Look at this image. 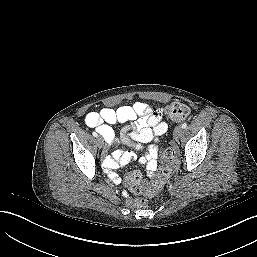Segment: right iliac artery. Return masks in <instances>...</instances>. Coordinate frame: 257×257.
I'll return each mask as SVG.
<instances>
[{
  "label": "right iliac artery",
  "mask_w": 257,
  "mask_h": 257,
  "mask_svg": "<svg viewBox=\"0 0 257 257\" xmlns=\"http://www.w3.org/2000/svg\"><path fill=\"white\" fill-rule=\"evenodd\" d=\"M92 134H93L94 137L98 136V134L96 132H93Z\"/></svg>",
  "instance_id": "right-iliac-artery-1"
}]
</instances>
